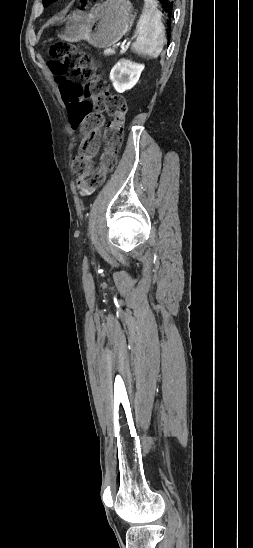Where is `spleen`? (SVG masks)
Segmentation results:
<instances>
[{
    "instance_id": "3e777b00",
    "label": "spleen",
    "mask_w": 253,
    "mask_h": 548,
    "mask_svg": "<svg viewBox=\"0 0 253 548\" xmlns=\"http://www.w3.org/2000/svg\"><path fill=\"white\" fill-rule=\"evenodd\" d=\"M145 6L137 23V39L132 50L140 55L157 58L165 43V27L161 21L162 13L156 7L155 0H144Z\"/></svg>"
}]
</instances>
